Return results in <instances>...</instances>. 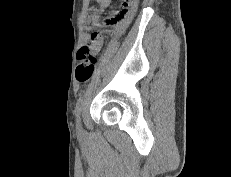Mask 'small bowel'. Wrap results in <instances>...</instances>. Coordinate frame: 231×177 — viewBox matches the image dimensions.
<instances>
[{
    "label": "small bowel",
    "mask_w": 231,
    "mask_h": 177,
    "mask_svg": "<svg viewBox=\"0 0 231 177\" xmlns=\"http://www.w3.org/2000/svg\"><path fill=\"white\" fill-rule=\"evenodd\" d=\"M98 2L102 3V4H106L108 2V0H97ZM97 20V17L95 15H91L88 14L85 17V21L88 24L94 23ZM127 24V21L124 22L123 26H125ZM87 42H88V46L92 52V54H95L99 51L101 45H102V41L101 39H89L88 37L86 38Z\"/></svg>",
    "instance_id": "obj_1"
}]
</instances>
